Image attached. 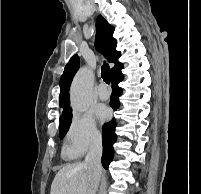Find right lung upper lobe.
Returning a JSON list of instances; mask_svg holds the SVG:
<instances>
[{
    "instance_id": "obj_1",
    "label": "right lung upper lobe",
    "mask_w": 201,
    "mask_h": 194,
    "mask_svg": "<svg viewBox=\"0 0 201 194\" xmlns=\"http://www.w3.org/2000/svg\"><path fill=\"white\" fill-rule=\"evenodd\" d=\"M96 46L103 52L109 62L115 64L112 68V75L120 71L123 67L118 61L121 53L116 50L117 41L113 38L114 27L110 25L106 19L99 15L96 21ZM79 68V57L74 55L65 66L64 72L60 78V107L63 109L60 119L71 116V108L69 103V88L72 79Z\"/></svg>"
}]
</instances>
